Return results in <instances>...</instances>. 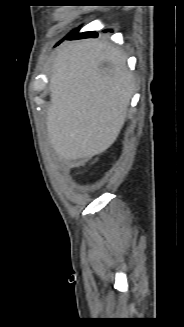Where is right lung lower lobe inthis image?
<instances>
[{
    "mask_svg": "<svg viewBox=\"0 0 184 327\" xmlns=\"http://www.w3.org/2000/svg\"><path fill=\"white\" fill-rule=\"evenodd\" d=\"M79 30L76 29L74 30L72 33H70L67 36V39H77V38H87V37H96L97 33L96 32H83V33H79ZM110 31V30H106L105 32Z\"/></svg>",
    "mask_w": 184,
    "mask_h": 327,
    "instance_id": "1",
    "label": "right lung lower lobe"
}]
</instances>
